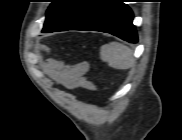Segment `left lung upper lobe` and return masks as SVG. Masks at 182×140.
<instances>
[{"instance_id":"1","label":"left lung upper lobe","mask_w":182,"mask_h":140,"mask_svg":"<svg viewBox=\"0 0 182 140\" xmlns=\"http://www.w3.org/2000/svg\"><path fill=\"white\" fill-rule=\"evenodd\" d=\"M106 0H52L43 33L66 31L100 7Z\"/></svg>"}]
</instances>
